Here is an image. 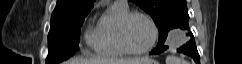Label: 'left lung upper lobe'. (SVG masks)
I'll return each instance as SVG.
<instances>
[{"mask_svg": "<svg viewBox=\"0 0 242 64\" xmlns=\"http://www.w3.org/2000/svg\"><path fill=\"white\" fill-rule=\"evenodd\" d=\"M150 14L159 29L158 45H164L168 31L188 24L186 0H131Z\"/></svg>", "mask_w": 242, "mask_h": 64, "instance_id": "1", "label": "left lung upper lobe"}]
</instances>
